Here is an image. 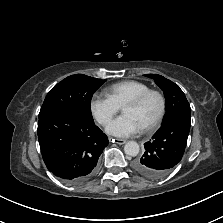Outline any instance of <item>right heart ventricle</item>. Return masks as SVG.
I'll list each match as a JSON object with an SVG mask.
<instances>
[{
  "mask_svg": "<svg viewBox=\"0 0 223 223\" xmlns=\"http://www.w3.org/2000/svg\"><path fill=\"white\" fill-rule=\"evenodd\" d=\"M149 89L150 87L141 81L125 80L109 86L107 94L119 107H123L128 101Z\"/></svg>",
  "mask_w": 223,
  "mask_h": 223,
  "instance_id": "right-heart-ventricle-1",
  "label": "right heart ventricle"
}]
</instances>
